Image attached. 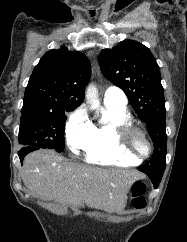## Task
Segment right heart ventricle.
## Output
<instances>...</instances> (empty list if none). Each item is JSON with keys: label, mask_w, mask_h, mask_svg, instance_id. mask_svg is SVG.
Returning a JSON list of instances; mask_svg holds the SVG:
<instances>
[{"label": "right heart ventricle", "mask_w": 187, "mask_h": 242, "mask_svg": "<svg viewBox=\"0 0 187 242\" xmlns=\"http://www.w3.org/2000/svg\"><path fill=\"white\" fill-rule=\"evenodd\" d=\"M131 121L126 106L104 104L102 116L92 124V137L83 150L87 163L101 166H136L135 158L124 155L115 142V127L124 122Z\"/></svg>", "instance_id": "obj_1"}]
</instances>
